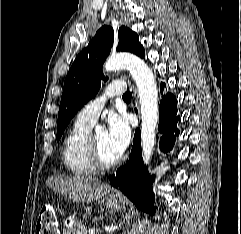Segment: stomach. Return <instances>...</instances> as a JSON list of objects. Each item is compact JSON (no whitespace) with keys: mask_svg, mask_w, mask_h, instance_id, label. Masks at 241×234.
Masks as SVG:
<instances>
[{"mask_svg":"<svg viewBox=\"0 0 241 234\" xmlns=\"http://www.w3.org/2000/svg\"><path fill=\"white\" fill-rule=\"evenodd\" d=\"M106 206L111 211H119L122 207V199L114 194H109L105 198ZM63 234H86L85 228L75 217L65 219Z\"/></svg>","mask_w":241,"mask_h":234,"instance_id":"1","label":"stomach"}]
</instances>
